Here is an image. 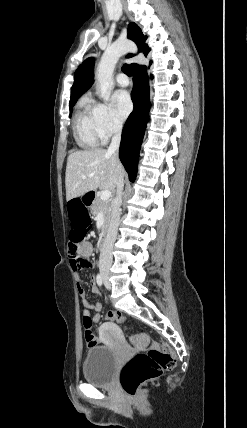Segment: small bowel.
<instances>
[{
	"mask_svg": "<svg viewBox=\"0 0 247 428\" xmlns=\"http://www.w3.org/2000/svg\"><path fill=\"white\" fill-rule=\"evenodd\" d=\"M92 253H93V247H92L91 243L82 242L81 245L78 246L79 257L83 258L89 262V265L87 268H92V263L89 261V258L91 257ZM70 263H71L74 270L79 269L77 262H76V258L72 257L71 255H70ZM77 288H78V294H79V297L81 300V304L83 306V317L90 318V320L94 323L99 322L101 319V314H100L101 309H102L101 303L98 301L91 303L87 300L86 292H85L81 282H78ZM91 291L94 294H98V292H99L93 279L91 280Z\"/></svg>",
	"mask_w": 247,
	"mask_h": 428,
	"instance_id": "small-bowel-1",
	"label": "small bowel"
}]
</instances>
